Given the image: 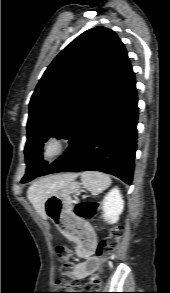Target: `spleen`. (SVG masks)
<instances>
[{"instance_id":"3e777b00","label":"spleen","mask_w":170,"mask_h":293,"mask_svg":"<svg viewBox=\"0 0 170 293\" xmlns=\"http://www.w3.org/2000/svg\"><path fill=\"white\" fill-rule=\"evenodd\" d=\"M81 181L84 188L93 194H99L111 185L108 175L97 171H85L81 173Z\"/></svg>"}]
</instances>
